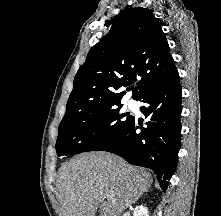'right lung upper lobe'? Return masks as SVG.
Masks as SVG:
<instances>
[{"label":"right lung upper lobe","instance_id":"obj_1","mask_svg":"<svg viewBox=\"0 0 221 216\" xmlns=\"http://www.w3.org/2000/svg\"><path fill=\"white\" fill-rule=\"evenodd\" d=\"M176 69L157 18L146 8H127L109 33L89 51L74 78L63 119H75L93 109L121 104L122 86L137 81L139 100ZM62 119V120H63Z\"/></svg>","mask_w":221,"mask_h":216}]
</instances>
